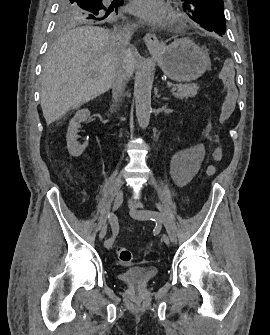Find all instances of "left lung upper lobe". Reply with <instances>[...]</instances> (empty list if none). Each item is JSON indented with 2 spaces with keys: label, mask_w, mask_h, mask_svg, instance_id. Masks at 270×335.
<instances>
[{
  "label": "left lung upper lobe",
  "mask_w": 270,
  "mask_h": 335,
  "mask_svg": "<svg viewBox=\"0 0 270 335\" xmlns=\"http://www.w3.org/2000/svg\"><path fill=\"white\" fill-rule=\"evenodd\" d=\"M183 9L201 28L223 35L226 31L223 0H182Z\"/></svg>",
  "instance_id": "left-lung-upper-lobe-1"
}]
</instances>
